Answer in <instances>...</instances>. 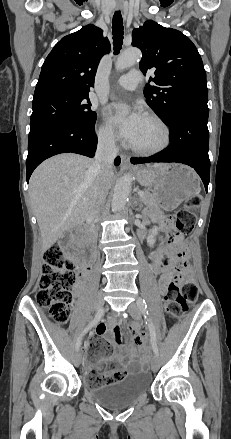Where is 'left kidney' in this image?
Returning a JSON list of instances; mask_svg holds the SVG:
<instances>
[{
    "mask_svg": "<svg viewBox=\"0 0 231 439\" xmlns=\"http://www.w3.org/2000/svg\"><path fill=\"white\" fill-rule=\"evenodd\" d=\"M157 233H158V227L155 226V227L152 229L151 234L147 237V243H148L149 245H153V244H154V242H155L154 237H155V235H157Z\"/></svg>",
    "mask_w": 231,
    "mask_h": 439,
    "instance_id": "left-kidney-1",
    "label": "left kidney"
}]
</instances>
